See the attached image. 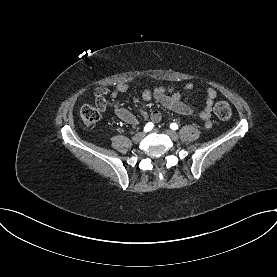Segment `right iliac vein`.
Segmentation results:
<instances>
[{"instance_id":"63e3f726","label":"right iliac vein","mask_w":277,"mask_h":277,"mask_svg":"<svg viewBox=\"0 0 277 277\" xmlns=\"http://www.w3.org/2000/svg\"><path fill=\"white\" fill-rule=\"evenodd\" d=\"M144 137H145V133L144 132H139V133H137L133 136V142L134 143H139L143 140Z\"/></svg>"}]
</instances>
